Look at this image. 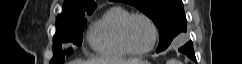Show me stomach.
<instances>
[{
	"instance_id": "stomach-1",
	"label": "stomach",
	"mask_w": 242,
	"mask_h": 64,
	"mask_svg": "<svg viewBox=\"0 0 242 64\" xmlns=\"http://www.w3.org/2000/svg\"><path fill=\"white\" fill-rule=\"evenodd\" d=\"M141 64H150V63H148L147 61H144L143 63H141Z\"/></svg>"
}]
</instances>
